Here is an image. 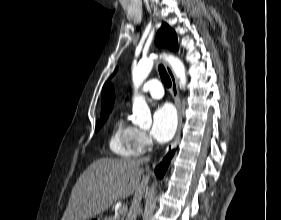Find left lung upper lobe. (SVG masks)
I'll use <instances>...</instances> for the list:
<instances>
[{
    "label": "left lung upper lobe",
    "mask_w": 281,
    "mask_h": 220,
    "mask_svg": "<svg viewBox=\"0 0 281 220\" xmlns=\"http://www.w3.org/2000/svg\"><path fill=\"white\" fill-rule=\"evenodd\" d=\"M156 43L159 46L167 47L171 50L178 49L176 33L166 23H164L160 30L157 32Z\"/></svg>",
    "instance_id": "1"
}]
</instances>
